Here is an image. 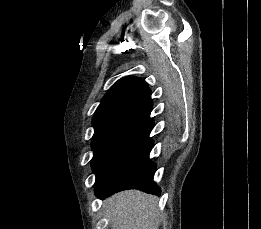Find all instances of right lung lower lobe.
Here are the masks:
<instances>
[{
  "label": "right lung lower lobe",
  "mask_w": 261,
  "mask_h": 229,
  "mask_svg": "<svg viewBox=\"0 0 261 229\" xmlns=\"http://www.w3.org/2000/svg\"><path fill=\"white\" fill-rule=\"evenodd\" d=\"M152 145L153 142L149 139L132 154L112 165L97 181L96 196L105 198L126 189L159 194L161 190L153 181L156 165L149 159Z\"/></svg>",
  "instance_id": "98d812e1"
}]
</instances>
